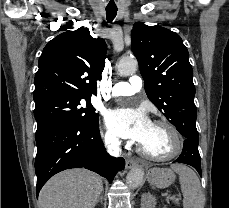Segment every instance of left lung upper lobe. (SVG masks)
<instances>
[{"label": "left lung upper lobe", "mask_w": 229, "mask_h": 208, "mask_svg": "<svg viewBox=\"0 0 229 208\" xmlns=\"http://www.w3.org/2000/svg\"><path fill=\"white\" fill-rule=\"evenodd\" d=\"M131 48L148 98L183 136L188 129L197 130L192 66L181 37L164 27L137 22Z\"/></svg>", "instance_id": "1"}]
</instances>
